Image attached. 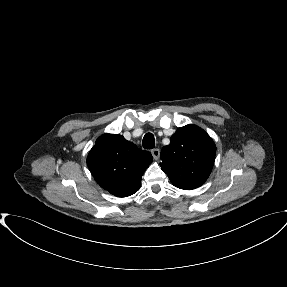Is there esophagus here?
Instances as JSON below:
<instances>
[{"instance_id": "1", "label": "esophagus", "mask_w": 287, "mask_h": 287, "mask_svg": "<svg viewBox=\"0 0 287 287\" xmlns=\"http://www.w3.org/2000/svg\"><path fill=\"white\" fill-rule=\"evenodd\" d=\"M151 153H152L153 158L156 159V160H157V159L159 158V156H160V150L157 149V148L153 149V150L151 151Z\"/></svg>"}]
</instances>
